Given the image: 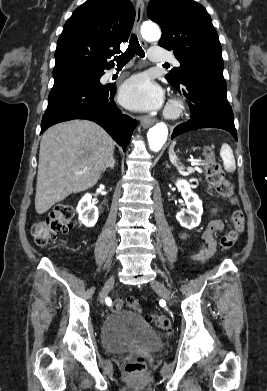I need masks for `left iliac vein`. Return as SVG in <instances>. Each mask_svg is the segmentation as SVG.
<instances>
[{"label": "left iliac vein", "mask_w": 267, "mask_h": 391, "mask_svg": "<svg viewBox=\"0 0 267 391\" xmlns=\"http://www.w3.org/2000/svg\"><path fill=\"white\" fill-rule=\"evenodd\" d=\"M150 284L163 298L166 300L171 299L170 292L163 283L155 279L152 280Z\"/></svg>", "instance_id": "4c4485c4"}]
</instances>
